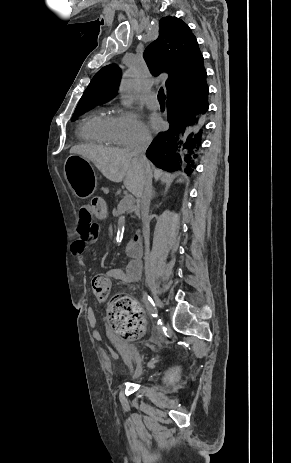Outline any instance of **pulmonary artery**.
<instances>
[{
    "instance_id": "obj_1",
    "label": "pulmonary artery",
    "mask_w": 291,
    "mask_h": 463,
    "mask_svg": "<svg viewBox=\"0 0 291 463\" xmlns=\"http://www.w3.org/2000/svg\"><path fill=\"white\" fill-rule=\"evenodd\" d=\"M146 104L151 109H158L159 108V101L157 99L156 93H151L146 98Z\"/></svg>"
}]
</instances>
